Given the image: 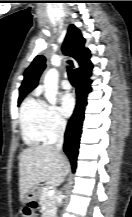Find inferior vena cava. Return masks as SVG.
I'll list each match as a JSON object with an SVG mask.
<instances>
[{"label": "inferior vena cava", "instance_id": "inferior-vena-cava-1", "mask_svg": "<svg viewBox=\"0 0 132 217\" xmlns=\"http://www.w3.org/2000/svg\"><path fill=\"white\" fill-rule=\"evenodd\" d=\"M65 128H66V122L64 120H61L58 125V136H57V142L55 144L56 149L59 151H61L63 148Z\"/></svg>", "mask_w": 132, "mask_h": 217}]
</instances>
